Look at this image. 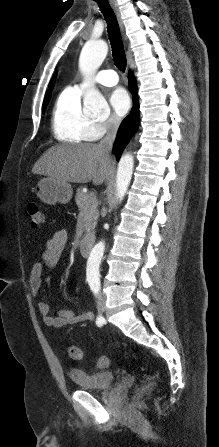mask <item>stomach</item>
Returning a JSON list of instances; mask_svg holds the SVG:
<instances>
[{"label": "stomach", "mask_w": 219, "mask_h": 447, "mask_svg": "<svg viewBox=\"0 0 219 447\" xmlns=\"http://www.w3.org/2000/svg\"><path fill=\"white\" fill-rule=\"evenodd\" d=\"M35 193L44 203H68L72 198V187L68 182L48 176L42 178L35 187Z\"/></svg>", "instance_id": "0dacf381"}]
</instances>
